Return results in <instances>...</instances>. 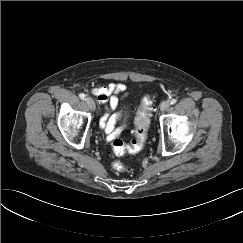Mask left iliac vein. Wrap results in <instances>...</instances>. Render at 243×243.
I'll use <instances>...</instances> for the list:
<instances>
[{"label":"left iliac vein","instance_id":"obj_1","mask_svg":"<svg viewBox=\"0 0 243 243\" xmlns=\"http://www.w3.org/2000/svg\"><path fill=\"white\" fill-rule=\"evenodd\" d=\"M168 107H169V101H163V102L160 104V110H161V111H165Z\"/></svg>","mask_w":243,"mask_h":243}]
</instances>
